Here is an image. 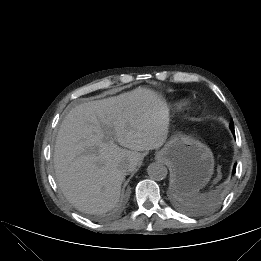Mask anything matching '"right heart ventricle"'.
Returning a JSON list of instances; mask_svg holds the SVG:
<instances>
[{
	"label": "right heart ventricle",
	"mask_w": 261,
	"mask_h": 261,
	"mask_svg": "<svg viewBox=\"0 0 261 261\" xmlns=\"http://www.w3.org/2000/svg\"><path fill=\"white\" fill-rule=\"evenodd\" d=\"M186 105V102L185 101H181V102H179L178 104H177V106L179 107V108H182V107H184Z\"/></svg>",
	"instance_id": "e07e8e85"
}]
</instances>
